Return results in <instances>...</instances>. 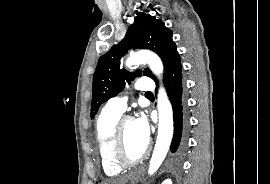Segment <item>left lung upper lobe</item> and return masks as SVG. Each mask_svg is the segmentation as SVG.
<instances>
[{
  "mask_svg": "<svg viewBox=\"0 0 270 184\" xmlns=\"http://www.w3.org/2000/svg\"><path fill=\"white\" fill-rule=\"evenodd\" d=\"M172 35V31L165 26L161 19L145 13H137L134 23L128 28L124 39L99 58L93 76L92 118L102 103L122 91L125 81L130 83L131 80L142 74L141 70L135 73L121 70L120 59L122 56L130 48L149 49L160 56L165 70L177 53ZM143 75L156 80L148 68L143 71Z\"/></svg>",
  "mask_w": 270,
  "mask_h": 184,
  "instance_id": "left-lung-upper-lobe-1",
  "label": "left lung upper lobe"
}]
</instances>
